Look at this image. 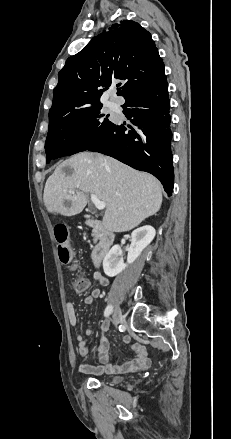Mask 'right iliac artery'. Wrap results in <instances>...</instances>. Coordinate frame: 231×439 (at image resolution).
<instances>
[{
    "label": "right iliac artery",
    "mask_w": 231,
    "mask_h": 439,
    "mask_svg": "<svg viewBox=\"0 0 231 439\" xmlns=\"http://www.w3.org/2000/svg\"><path fill=\"white\" fill-rule=\"evenodd\" d=\"M112 309H113L112 305H108V306L106 307V309H105V311H104V316H105L106 318L109 317V315H110L111 312H112Z\"/></svg>",
    "instance_id": "right-iliac-artery-1"
}]
</instances>
